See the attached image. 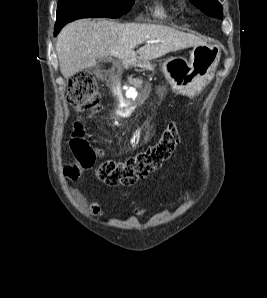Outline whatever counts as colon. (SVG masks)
Wrapping results in <instances>:
<instances>
[{
	"mask_svg": "<svg viewBox=\"0 0 267 298\" xmlns=\"http://www.w3.org/2000/svg\"><path fill=\"white\" fill-rule=\"evenodd\" d=\"M66 99L85 114L97 110L100 98L94 76L89 71H80L72 76L68 83ZM180 139L178 124L170 122L158 140L149 148L124 161L105 160L96 166L97 154L84 138L81 123L76 122L69 142L75 164L65 167L64 172L74 178L81 171L94 168L95 176L100 181L111 186H129L160 168L171 157Z\"/></svg>",
	"mask_w": 267,
	"mask_h": 298,
	"instance_id": "5ec220e1",
	"label": "colon"
}]
</instances>
